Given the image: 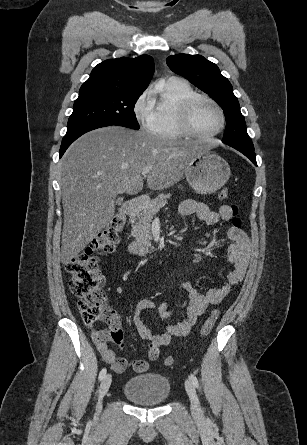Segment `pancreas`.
<instances>
[{"label":"pancreas","instance_id":"1","mask_svg":"<svg viewBox=\"0 0 307 445\" xmlns=\"http://www.w3.org/2000/svg\"><path fill=\"white\" fill-rule=\"evenodd\" d=\"M171 192H161L158 194L156 198H152L150 202H146L144 204L141 212H138L136 216V220L132 225L133 231H135L133 237H136V241H141L144 245H151V241L153 239L150 231H151V220L154 218L155 214L159 212L162 206L167 204V198H170Z\"/></svg>","mask_w":307,"mask_h":445}]
</instances>
